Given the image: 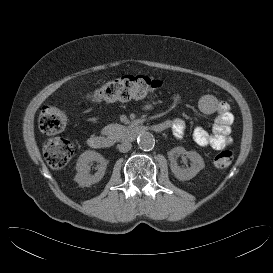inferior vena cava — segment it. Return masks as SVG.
I'll return each mask as SVG.
<instances>
[{"instance_id": "inferior-vena-cava-1", "label": "inferior vena cava", "mask_w": 273, "mask_h": 273, "mask_svg": "<svg viewBox=\"0 0 273 273\" xmlns=\"http://www.w3.org/2000/svg\"><path fill=\"white\" fill-rule=\"evenodd\" d=\"M131 147H132V144L126 141L118 145V149L122 153L128 152L131 149Z\"/></svg>"}]
</instances>
